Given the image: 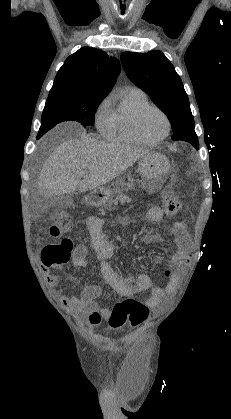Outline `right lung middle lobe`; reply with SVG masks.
Here are the masks:
<instances>
[{
    "label": "right lung middle lobe",
    "mask_w": 231,
    "mask_h": 419,
    "mask_svg": "<svg viewBox=\"0 0 231 419\" xmlns=\"http://www.w3.org/2000/svg\"><path fill=\"white\" fill-rule=\"evenodd\" d=\"M103 98L77 97L65 90L50 91L41 117L37 139L56 124L77 121L84 127L94 124V116Z\"/></svg>",
    "instance_id": "obj_1"
}]
</instances>
